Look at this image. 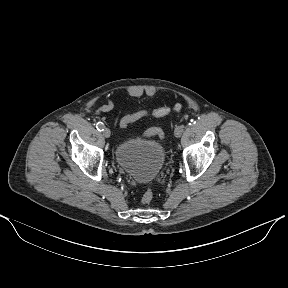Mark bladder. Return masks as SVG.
<instances>
[{"instance_id":"bladder-1","label":"bladder","mask_w":288,"mask_h":288,"mask_svg":"<svg viewBox=\"0 0 288 288\" xmlns=\"http://www.w3.org/2000/svg\"><path fill=\"white\" fill-rule=\"evenodd\" d=\"M165 158L164 145L150 139H124L114 149L118 167L139 183L153 181L162 170Z\"/></svg>"}]
</instances>
